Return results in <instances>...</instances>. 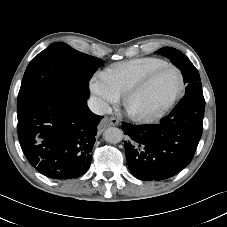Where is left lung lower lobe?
<instances>
[{
    "instance_id": "0a47b994",
    "label": "left lung lower lobe",
    "mask_w": 227,
    "mask_h": 227,
    "mask_svg": "<svg viewBox=\"0 0 227 227\" xmlns=\"http://www.w3.org/2000/svg\"><path fill=\"white\" fill-rule=\"evenodd\" d=\"M205 106L177 105L160 124H122L131 173L144 181L170 178L192 160L203 130Z\"/></svg>"
}]
</instances>
